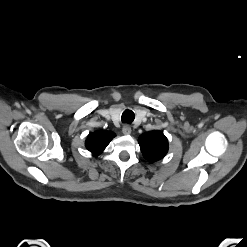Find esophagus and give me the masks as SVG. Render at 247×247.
<instances>
[{"label":"esophagus","instance_id":"1","mask_svg":"<svg viewBox=\"0 0 247 247\" xmlns=\"http://www.w3.org/2000/svg\"><path fill=\"white\" fill-rule=\"evenodd\" d=\"M131 131H132V129H131V127L128 124H125L123 126V128H122V132H123L124 135L131 134Z\"/></svg>","mask_w":247,"mask_h":247}]
</instances>
